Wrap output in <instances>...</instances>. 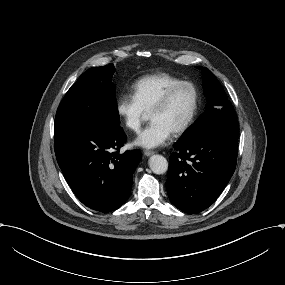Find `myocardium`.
Masks as SVG:
<instances>
[{
	"instance_id": "obj_1",
	"label": "myocardium",
	"mask_w": 285,
	"mask_h": 285,
	"mask_svg": "<svg viewBox=\"0 0 285 285\" xmlns=\"http://www.w3.org/2000/svg\"><path fill=\"white\" fill-rule=\"evenodd\" d=\"M183 85H188L192 88L193 93H194V102H193V106L191 108V111L189 113V115L186 117V119L177 127H175L172 131L174 133H181L184 132L193 122L199 106H200V99H201V95H200V90L198 88V86L190 80H181L175 84H173L172 86H170L164 93L163 95L160 97V99L157 101V103L153 106V108L151 109L150 115L152 112L165 108L171 101V98L174 94V92Z\"/></svg>"
}]
</instances>
